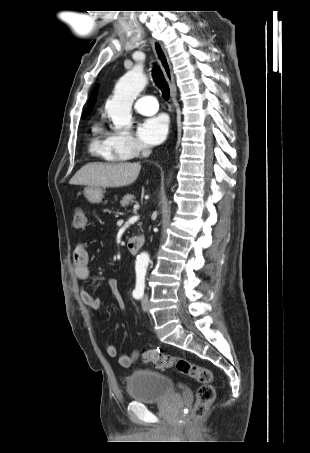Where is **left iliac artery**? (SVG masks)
I'll return each instance as SVG.
<instances>
[{
  "instance_id": "1",
  "label": "left iliac artery",
  "mask_w": 310,
  "mask_h": 453,
  "mask_svg": "<svg viewBox=\"0 0 310 453\" xmlns=\"http://www.w3.org/2000/svg\"><path fill=\"white\" fill-rule=\"evenodd\" d=\"M145 288V273L139 272L136 274V287L133 291V297L135 299H140L144 294Z\"/></svg>"
}]
</instances>
